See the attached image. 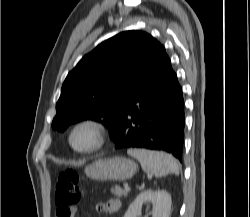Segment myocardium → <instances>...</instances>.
<instances>
[{
    "mask_svg": "<svg viewBox=\"0 0 250 217\" xmlns=\"http://www.w3.org/2000/svg\"><path fill=\"white\" fill-rule=\"evenodd\" d=\"M80 130H87L91 134V143L84 148H78L73 143L74 135ZM106 129L105 126L94 119H83L76 122L70 129L68 142L71 148L80 154H89L98 150L105 141Z\"/></svg>",
    "mask_w": 250,
    "mask_h": 217,
    "instance_id": "myocardium-1",
    "label": "myocardium"
}]
</instances>
